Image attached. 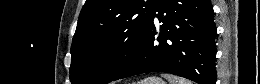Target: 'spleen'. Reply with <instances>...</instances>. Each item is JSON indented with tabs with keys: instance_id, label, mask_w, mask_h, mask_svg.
Wrapping results in <instances>:
<instances>
[{
	"instance_id": "obj_1",
	"label": "spleen",
	"mask_w": 260,
	"mask_h": 84,
	"mask_svg": "<svg viewBox=\"0 0 260 84\" xmlns=\"http://www.w3.org/2000/svg\"><path fill=\"white\" fill-rule=\"evenodd\" d=\"M162 77L168 79L170 84H191L190 81L184 78H178L170 74H162Z\"/></svg>"
}]
</instances>
